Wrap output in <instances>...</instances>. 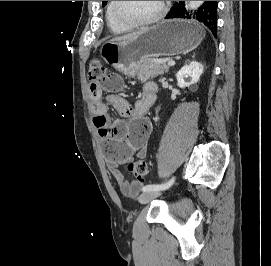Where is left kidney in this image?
I'll return each mask as SVG.
<instances>
[{
	"label": "left kidney",
	"mask_w": 271,
	"mask_h": 266,
	"mask_svg": "<svg viewBox=\"0 0 271 266\" xmlns=\"http://www.w3.org/2000/svg\"><path fill=\"white\" fill-rule=\"evenodd\" d=\"M203 70V65L196 61H192L183 66L176 74L178 86L180 88H186L192 84H196L199 81Z\"/></svg>",
	"instance_id": "5707ae66"
}]
</instances>
